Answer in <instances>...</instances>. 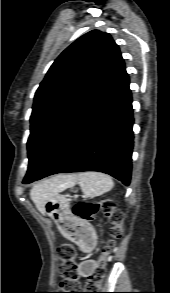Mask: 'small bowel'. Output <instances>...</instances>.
<instances>
[{
  "instance_id": "1",
  "label": "small bowel",
  "mask_w": 170,
  "mask_h": 293,
  "mask_svg": "<svg viewBox=\"0 0 170 293\" xmlns=\"http://www.w3.org/2000/svg\"><path fill=\"white\" fill-rule=\"evenodd\" d=\"M71 239L76 243H80V240L76 237ZM97 264L98 262L92 259L80 262L78 265L79 274L84 277L90 276Z\"/></svg>"
}]
</instances>
